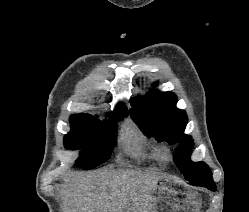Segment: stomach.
<instances>
[{
	"label": "stomach",
	"instance_id": "obj_1",
	"mask_svg": "<svg viewBox=\"0 0 249 212\" xmlns=\"http://www.w3.org/2000/svg\"><path fill=\"white\" fill-rule=\"evenodd\" d=\"M154 206L157 212H199L202 204L200 194L185 188L182 182L165 175L156 182Z\"/></svg>",
	"mask_w": 249,
	"mask_h": 212
}]
</instances>
